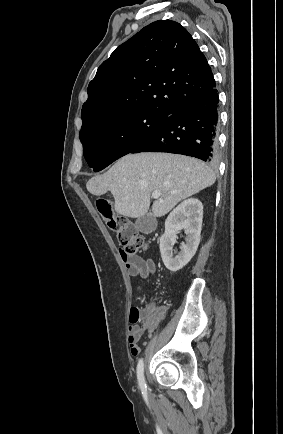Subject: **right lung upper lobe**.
<instances>
[{"instance_id": "1", "label": "right lung upper lobe", "mask_w": 283, "mask_h": 434, "mask_svg": "<svg viewBox=\"0 0 283 434\" xmlns=\"http://www.w3.org/2000/svg\"><path fill=\"white\" fill-rule=\"evenodd\" d=\"M214 87L211 67L190 33L177 22L156 21L99 66L88 86L81 130L130 111L171 114Z\"/></svg>"}]
</instances>
